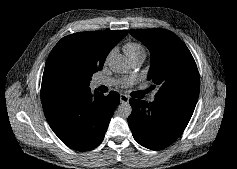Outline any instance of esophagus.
<instances>
[{"instance_id":"esophagus-1","label":"esophagus","mask_w":237,"mask_h":169,"mask_svg":"<svg viewBox=\"0 0 237 169\" xmlns=\"http://www.w3.org/2000/svg\"><path fill=\"white\" fill-rule=\"evenodd\" d=\"M120 102L121 103H128L129 102V97L126 96L125 94H120Z\"/></svg>"}]
</instances>
